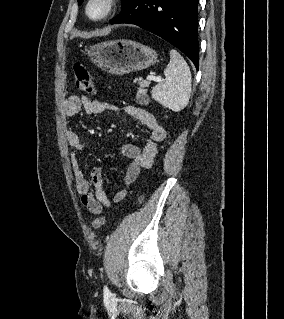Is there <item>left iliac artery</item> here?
<instances>
[{
    "instance_id": "left-iliac-artery-1",
    "label": "left iliac artery",
    "mask_w": 284,
    "mask_h": 319,
    "mask_svg": "<svg viewBox=\"0 0 284 319\" xmlns=\"http://www.w3.org/2000/svg\"><path fill=\"white\" fill-rule=\"evenodd\" d=\"M104 292L107 293V294L109 293V290H108L107 286L104 287Z\"/></svg>"
}]
</instances>
